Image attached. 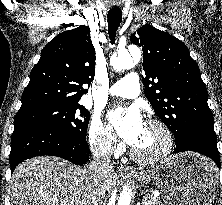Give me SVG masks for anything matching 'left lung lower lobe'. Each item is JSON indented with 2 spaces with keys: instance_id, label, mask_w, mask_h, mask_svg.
Returning a JSON list of instances; mask_svg holds the SVG:
<instances>
[{
  "instance_id": "0a47b994",
  "label": "left lung lower lobe",
  "mask_w": 222,
  "mask_h": 205,
  "mask_svg": "<svg viewBox=\"0 0 222 205\" xmlns=\"http://www.w3.org/2000/svg\"><path fill=\"white\" fill-rule=\"evenodd\" d=\"M194 151L211 158L220 168V157L217 149V138L202 131L188 133L180 140L176 141L174 153Z\"/></svg>"
}]
</instances>
